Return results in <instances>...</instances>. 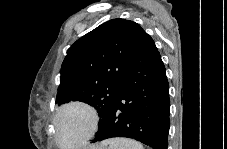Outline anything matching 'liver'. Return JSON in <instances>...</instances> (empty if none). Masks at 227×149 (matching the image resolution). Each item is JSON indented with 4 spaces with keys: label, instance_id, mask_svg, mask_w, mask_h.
Returning a JSON list of instances; mask_svg holds the SVG:
<instances>
[{
    "label": "liver",
    "instance_id": "6515ba94",
    "mask_svg": "<svg viewBox=\"0 0 227 149\" xmlns=\"http://www.w3.org/2000/svg\"><path fill=\"white\" fill-rule=\"evenodd\" d=\"M96 147H103V146H93L92 148H96Z\"/></svg>",
    "mask_w": 227,
    "mask_h": 149
}]
</instances>
